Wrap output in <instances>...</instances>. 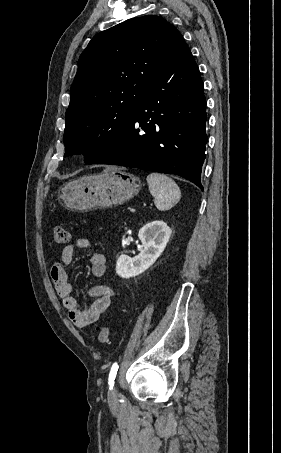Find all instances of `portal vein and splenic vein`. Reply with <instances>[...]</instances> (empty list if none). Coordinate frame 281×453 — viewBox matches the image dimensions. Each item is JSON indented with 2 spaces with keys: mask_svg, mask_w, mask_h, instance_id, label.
<instances>
[{
  "mask_svg": "<svg viewBox=\"0 0 281 453\" xmlns=\"http://www.w3.org/2000/svg\"><path fill=\"white\" fill-rule=\"evenodd\" d=\"M129 212H130V213H131V212H135V207H130V208H129Z\"/></svg>",
  "mask_w": 281,
  "mask_h": 453,
  "instance_id": "18ae733b",
  "label": "portal vein and splenic vein"
}]
</instances>
